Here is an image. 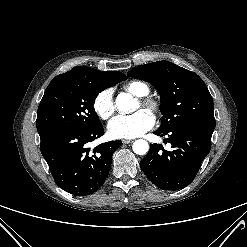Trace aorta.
<instances>
[{
	"label": "aorta",
	"mask_w": 247,
	"mask_h": 247,
	"mask_svg": "<svg viewBox=\"0 0 247 247\" xmlns=\"http://www.w3.org/2000/svg\"><path fill=\"white\" fill-rule=\"evenodd\" d=\"M116 107L122 114H128L135 111V100L128 93H120L116 98ZM133 151L138 155H145L149 151V144L146 140H136L132 145Z\"/></svg>",
	"instance_id": "1"
}]
</instances>
